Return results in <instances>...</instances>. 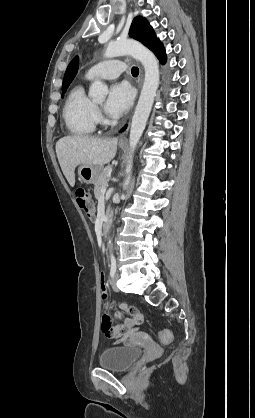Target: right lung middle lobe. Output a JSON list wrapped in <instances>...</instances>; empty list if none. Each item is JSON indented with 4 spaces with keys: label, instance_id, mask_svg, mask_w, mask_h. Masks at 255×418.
Wrapping results in <instances>:
<instances>
[{
    "label": "right lung middle lobe",
    "instance_id": "1",
    "mask_svg": "<svg viewBox=\"0 0 255 418\" xmlns=\"http://www.w3.org/2000/svg\"><path fill=\"white\" fill-rule=\"evenodd\" d=\"M66 89H67V88H65V89H62V92H63V93H65ZM62 97H63V94H62Z\"/></svg>",
    "mask_w": 255,
    "mask_h": 418
}]
</instances>
